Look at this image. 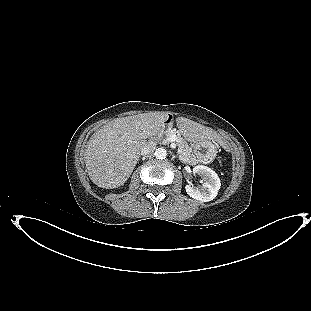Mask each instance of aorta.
Segmentation results:
<instances>
[{
	"instance_id": "aorta-1",
	"label": "aorta",
	"mask_w": 311,
	"mask_h": 311,
	"mask_svg": "<svg viewBox=\"0 0 311 311\" xmlns=\"http://www.w3.org/2000/svg\"><path fill=\"white\" fill-rule=\"evenodd\" d=\"M154 155L157 159H165L167 156V152L164 148H157Z\"/></svg>"
}]
</instances>
